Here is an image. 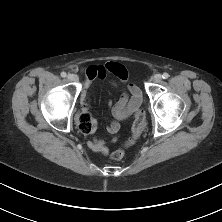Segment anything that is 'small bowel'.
<instances>
[{"label":"small bowel","mask_w":222,"mask_h":222,"mask_svg":"<svg viewBox=\"0 0 222 222\" xmlns=\"http://www.w3.org/2000/svg\"><path fill=\"white\" fill-rule=\"evenodd\" d=\"M111 63L106 65H91L86 67L85 73L87 75L86 85H89L95 79H104L108 73H112L122 81H126L127 73L125 69L116 65L113 68L110 67ZM117 64V63H116ZM127 94L122 95L116 103L110 102V112L113 117L112 122L108 125L107 131L115 135L120 129V122L133 113L141 103V93L138 87L134 84L127 85ZM88 112L86 100L83 101L81 114ZM96 129V121L92 119V125L86 132L87 134H93ZM115 141V139H113ZM89 146L93 151L101 154H108L109 149L104 140L93 138L89 141Z\"/></svg>","instance_id":"obj_1"}]
</instances>
